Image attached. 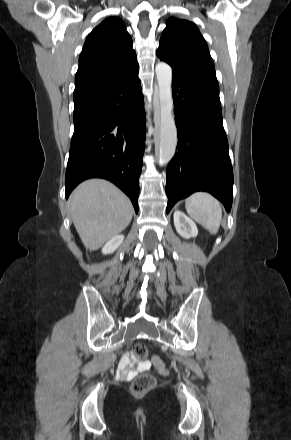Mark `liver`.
I'll return each mask as SVG.
<instances>
[{
  "instance_id": "obj_1",
  "label": "liver",
  "mask_w": 291,
  "mask_h": 440,
  "mask_svg": "<svg viewBox=\"0 0 291 440\" xmlns=\"http://www.w3.org/2000/svg\"><path fill=\"white\" fill-rule=\"evenodd\" d=\"M74 226L86 249L95 251L130 223L133 207L114 184L103 179L81 183L70 195Z\"/></svg>"
}]
</instances>
